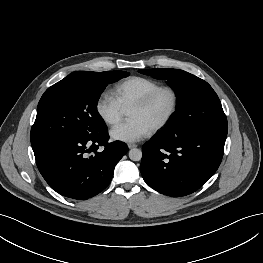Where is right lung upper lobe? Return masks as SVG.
I'll return each mask as SVG.
<instances>
[{
	"instance_id": "1",
	"label": "right lung upper lobe",
	"mask_w": 263,
	"mask_h": 263,
	"mask_svg": "<svg viewBox=\"0 0 263 263\" xmlns=\"http://www.w3.org/2000/svg\"><path fill=\"white\" fill-rule=\"evenodd\" d=\"M84 72H86V71H77V72H73V73H71V74H82V73H84Z\"/></svg>"
}]
</instances>
